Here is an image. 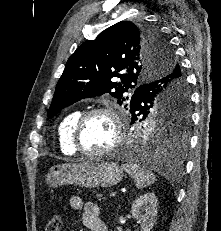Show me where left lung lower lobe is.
Segmentation results:
<instances>
[{
  "instance_id": "0a47b994",
  "label": "left lung lower lobe",
  "mask_w": 221,
  "mask_h": 231,
  "mask_svg": "<svg viewBox=\"0 0 221 231\" xmlns=\"http://www.w3.org/2000/svg\"><path fill=\"white\" fill-rule=\"evenodd\" d=\"M179 73L181 74L183 72L175 70L162 78L139 86L135 90L131 100L139 106L144 100L156 94L168 92L173 94L175 92H173V90H175L178 85L184 90H187L188 93L185 77H181ZM174 96L175 95H173V97L171 96L172 98L170 97L171 99L169 100L174 107L180 108L188 101L184 98L182 99V97H177V95L176 97ZM186 146L187 138L184 135L172 138L168 136H159L154 133L148 136L147 139L139 141L136 150L133 151V155L139 160H151L154 162L167 163L169 165L170 160L168 153L171 152L176 156H181L185 152ZM175 157L173 159H175Z\"/></svg>"
}]
</instances>
